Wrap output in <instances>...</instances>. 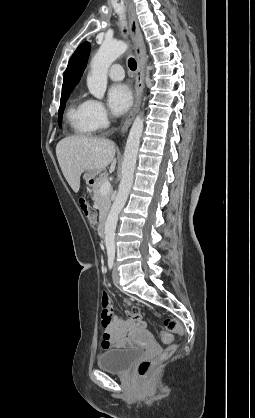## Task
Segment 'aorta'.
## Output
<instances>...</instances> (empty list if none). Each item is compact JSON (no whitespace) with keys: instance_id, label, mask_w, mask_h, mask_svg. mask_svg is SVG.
<instances>
[{"instance_id":"obj_1","label":"aorta","mask_w":255,"mask_h":418,"mask_svg":"<svg viewBox=\"0 0 255 418\" xmlns=\"http://www.w3.org/2000/svg\"><path fill=\"white\" fill-rule=\"evenodd\" d=\"M127 47V44L123 41H104L93 57L91 70L87 77V86L95 98L102 99L104 97L107 87L108 69L127 50ZM143 127V117L142 113H140L135 118L127 138L122 164V179L105 223V245L109 256L115 255V230L118 215L124 207L133 185L134 170Z\"/></svg>"}]
</instances>
